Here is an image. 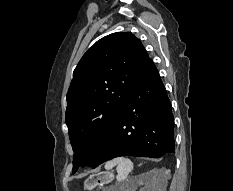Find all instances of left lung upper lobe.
I'll return each instance as SVG.
<instances>
[{
	"mask_svg": "<svg viewBox=\"0 0 233 191\" xmlns=\"http://www.w3.org/2000/svg\"><path fill=\"white\" fill-rule=\"evenodd\" d=\"M147 60V51L130 32L103 37L81 58L66 97L73 173L94 163Z\"/></svg>",
	"mask_w": 233,
	"mask_h": 191,
	"instance_id": "5c2ea615",
	"label": "left lung upper lobe"
}]
</instances>
